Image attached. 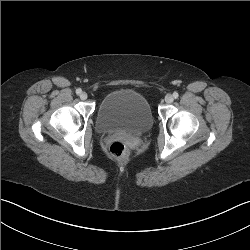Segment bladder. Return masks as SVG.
I'll use <instances>...</instances> for the list:
<instances>
[{
  "label": "bladder",
  "instance_id": "1",
  "mask_svg": "<svg viewBox=\"0 0 250 250\" xmlns=\"http://www.w3.org/2000/svg\"><path fill=\"white\" fill-rule=\"evenodd\" d=\"M148 100L131 89H118L106 94L96 113V129L100 133L140 135L153 126Z\"/></svg>",
  "mask_w": 250,
  "mask_h": 250
}]
</instances>
